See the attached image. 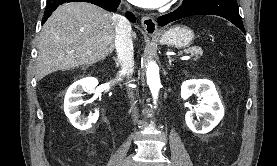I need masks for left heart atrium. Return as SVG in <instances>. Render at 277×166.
<instances>
[{"mask_svg": "<svg viewBox=\"0 0 277 166\" xmlns=\"http://www.w3.org/2000/svg\"><path fill=\"white\" fill-rule=\"evenodd\" d=\"M134 5L143 8H159L167 4L170 0H129Z\"/></svg>", "mask_w": 277, "mask_h": 166, "instance_id": "obj_1", "label": "left heart atrium"}]
</instances>
